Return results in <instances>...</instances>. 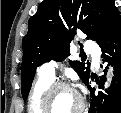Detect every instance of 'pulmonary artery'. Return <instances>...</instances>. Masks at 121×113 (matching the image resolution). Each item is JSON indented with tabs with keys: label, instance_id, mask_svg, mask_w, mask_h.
<instances>
[{
	"label": "pulmonary artery",
	"instance_id": "1",
	"mask_svg": "<svg viewBox=\"0 0 121 113\" xmlns=\"http://www.w3.org/2000/svg\"><path fill=\"white\" fill-rule=\"evenodd\" d=\"M86 48L87 50L93 54L94 58H95V67L98 69L99 65H98V57L100 54V50L98 48V46L93 42V41H88L86 43ZM39 72L41 75L46 76L48 78H54L55 77V68L53 63L51 62H47L44 63L40 66Z\"/></svg>",
	"mask_w": 121,
	"mask_h": 113
}]
</instances>
